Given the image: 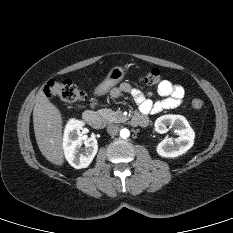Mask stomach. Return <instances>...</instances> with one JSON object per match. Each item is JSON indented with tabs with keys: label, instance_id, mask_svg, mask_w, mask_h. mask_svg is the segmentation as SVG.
<instances>
[{
	"label": "stomach",
	"instance_id": "obj_1",
	"mask_svg": "<svg viewBox=\"0 0 233 233\" xmlns=\"http://www.w3.org/2000/svg\"><path fill=\"white\" fill-rule=\"evenodd\" d=\"M125 76V70L120 66L113 67L105 80L96 88L95 93L97 95H103L107 93L113 86L123 80Z\"/></svg>",
	"mask_w": 233,
	"mask_h": 233
}]
</instances>
